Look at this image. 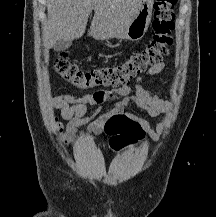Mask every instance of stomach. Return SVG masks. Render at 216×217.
I'll return each instance as SVG.
<instances>
[{"instance_id":"1","label":"stomach","mask_w":216,"mask_h":217,"mask_svg":"<svg viewBox=\"0 0 216 217\" xmlns=\"http://www.w3.org/2000/svg\"><path fill=\"white\" fill-rule=\"evenodd\" d=\"M154 0H142L136 14L129 23L117 33L116 37L130 41L140 40L146 33L152 18Z\"/></svg>"}]
</instances>
